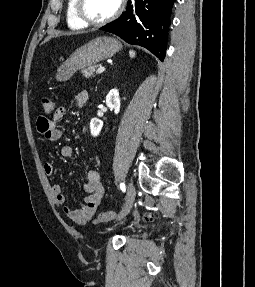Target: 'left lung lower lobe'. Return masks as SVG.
<instances>
[{"label":"left lung lower lobe","mask_w":255,"mask_h":287,"mask_svg":"<svg viewBox=\"0 0 255 287\" xmlns=\"http://www.w3.org/2000/svg\"><path fill=\"white\" fill-rule=\"evenodd\" d=\"M176 0H129L122 16L101 30L130 44L147 48L163 61L166 53L170 15Z\"/></svg>","instance_id":"0a47b994"}]
</instances>
